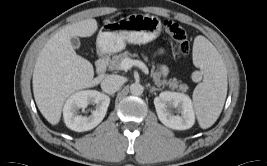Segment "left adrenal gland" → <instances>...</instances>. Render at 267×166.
Returning a JSON list of instances; mask_svg holds the SVG:
<instances>
[{"mask_svg": "<svg viewBox=\"0 0 267 166\" xmlns=\"http://www.w3.org/2000/svg\"><path fill=\"white\" fill-rule=\"evenodd\" d=\"M147 87H149L150 88V92L152 93V92H154V91H160L161 89H159V88H156V87H151L150 86V84H148V86Z\"/></svg>", "mask_w": 267, "mask_h": 166, "instance_id": "a2214340", "label": "left adrenal gland"}]
</instances>
